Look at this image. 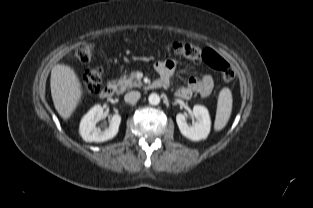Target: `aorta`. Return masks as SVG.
<instances>
[{
  "label": "aorta",
  "mask_w": 313,
  "mask_h": 208,
  "mask_svg": "<svg viewBox=\"0 0 313 208\" xmlns=\"http://www.w3.org/2000/svg\"><path fill=\"white\" fill-rule=\"evenodd\" d=\"M148 101L151 105H158L160 103V97L156 93H152L149 95Z\"/></svg>",
  "instance_id": "762f6f07"
}]
</instances>
